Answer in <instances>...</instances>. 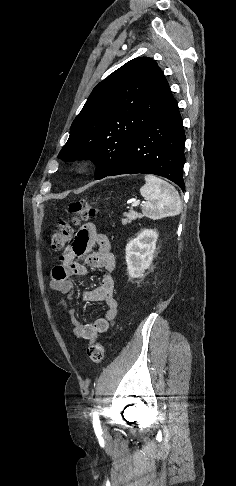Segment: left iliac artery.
Instances as JSON below:
<instances>
[{
    "mask_svg": "<svg viewBox=\"0 0 236 486\" xmlns=\"http://www.w3.org/2000/svg\"><path fill=\"white\" fill-rule=\"evenodd\" d=\"M93 427L95 432H101L100 420L97 412L93 413Z\"/></svg>",
    "mask_w": 236,
    "mask_h": 486,
    "instance_id": "1",
    "label": "left iliac artery"
}]
</instances>
